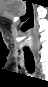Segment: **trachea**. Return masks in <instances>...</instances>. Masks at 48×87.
Listing matches in <instances>:
<instances>
[{
	"mask_svg": "<svg viewBox=\"0 0 48 87\" xmlns=\"http://www.w3.org/2000/svg\"><path fill=\"white\" fill-rule=\"evenodd\" d=\"M25 67L29 73H33L35 70L34 60L30 51H24Z\"/></svg>",
	"mask_w": 48,
	"mask_h": 87,
	"instance_id": "obj_1",
	"label": "trachea"
}]
</instances>
